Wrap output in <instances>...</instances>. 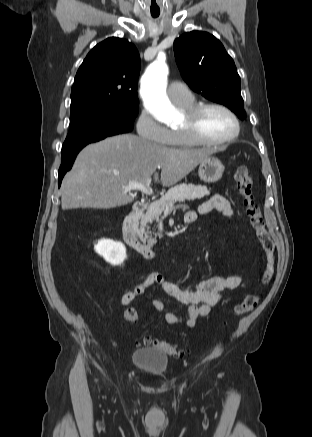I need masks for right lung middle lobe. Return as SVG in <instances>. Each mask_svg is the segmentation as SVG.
Instances as JSON below:
<instances>
[{
  "mask_svg": "<svg viewBox=\"0 0 312 437\" xmlns=\"http://www.w3.org/2000/svg\"><path fill=\"white\" fill-rule=\"evenodd\" d=\"M137 114L138 103H87L71 107L69 133L62 153L108 136L130 132Z\"/></svg>",
  "mask_w": 312,
  "mask_h": 437,
  "instance_id": "dd1d6c3e",
  "label": "right lung middle lobe"
}]
</instances>
